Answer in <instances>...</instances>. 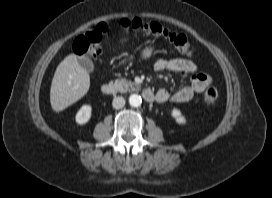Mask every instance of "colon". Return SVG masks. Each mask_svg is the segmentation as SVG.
Returning <instances> with one entry per match:
<instances>
[{
	"label": "colon",
	"instance_id": "5ec220e1",
	"mask_svg": "<svg viewBox=\"0 0 272 198\" xmlns=\"http://www.w3.org/2000/svg\"><path fill=\"white\" fill-rule=\"evenodd\" d=\"M122 26L127 30L139 32L145 36L165 39L182 54L188 56H193L195 54L194 47L185 35L170 31L159 23H145L138 18H133L124 19L122 21ZM106 31V25L101 23L79 36L75 40L73 46L75 53L79 56L97 59L100 53L99 43ZM217 98L218 93L214 87H208L203 94V102L208 106L214 105Z\"/></svg>",
	"mask_w": 272,
	"mask_h": 198
}]
</instances>
